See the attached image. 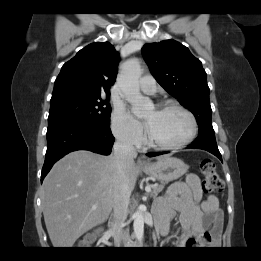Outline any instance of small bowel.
<instances>
[{"mask_svg":"<svg viewBox=\"0 0 261 261\" xmlns=\"http://www.w3.org/2000/svg\"><path fill=\"white\" fill-rule=\"evenodd\" d=\"M175 211L180 213V223L184 229L181 245L188 244L194 237H204L207 232H210L212 242L218 243L222 231L219 200L214 195L203 198V189L196 175L189 174L185 182L171 185L167 194L160 199L157 217L159 230H168V222Z\"/></svg>","mask_w":261,"mask_h":261,"instance_id":"small-bowel-1","label":"small bowel"}]
</instances>
